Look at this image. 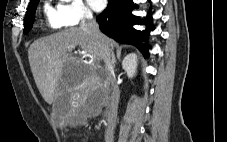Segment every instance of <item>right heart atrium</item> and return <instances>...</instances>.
I'll return each instance as SVG.
<instances>
[{
  "instance_id": "right-heart-atrium-1",
  "label": "right heart atrium",
  "mask_w": 227,
  "mask_h": 142,
  "mask_svg": "<svg viewBox=\"0 0 227 142\" xmlns=\"http://www.w3.org/2000/svg\"><path fill=\"white\" fill-rule=\"evenodd\" d=\"M60 20L65 26H78L93 19L92 11L82 0L60 2L57 6Z\"/></svg>"
}]
</instances>
